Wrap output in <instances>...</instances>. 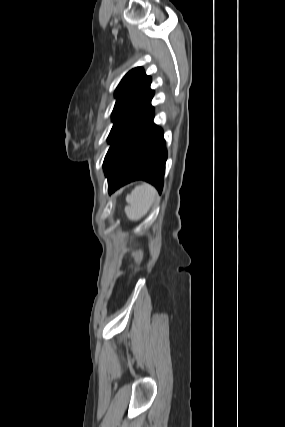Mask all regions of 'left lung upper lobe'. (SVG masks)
Returning <instances> with one entry per match:
<instances>
[{
    "instance_id": "1",
    "label": "left lung upper lobe",
    "mask_w": 285,
    "mask_h": 427,
    "mask_svg": "<svg viewBox=\"0 0 285 427\" xmlns=\"http://www.w3.org/2000/svg\"><path fill=\"white\" fill-rule=\"evenodd\" d=\"M150 84L151 78L144 73L142 67L130 70L119 83L112 112L113 127L108 137L110 149L151 106L154 91L150 89Z\"/></svg>"
}]
</instances>
